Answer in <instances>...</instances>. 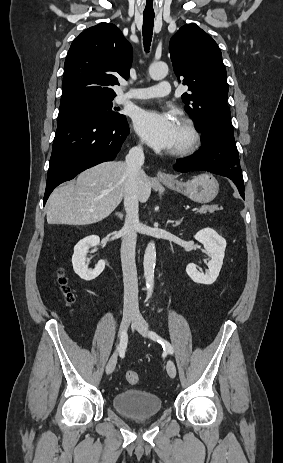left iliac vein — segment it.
Instances as JSON below:
<instances>
[{
    "label": "left iliac vein",
    "mask_w": 283,
    "mask_h": 463,
    "mask_svg": "<svg viewBox=\"0 0 283 463\" xmlns=\"http://www.w3.org/2000/svg\"><path fill=\"white\" fill-rule=\"evenodd\" d=\"M133 325L137 329V331L144 337H147L148 335V323L146 320L142 317V315L139 312L135 313V316L132 320ZM167 373L171 378H174L176 376V366L175 363L172 360H168L167 362Z\"/></svg>",
    "instance_id": "4c4485c4"
}]
</instances>
